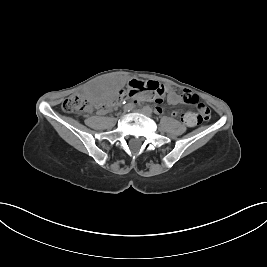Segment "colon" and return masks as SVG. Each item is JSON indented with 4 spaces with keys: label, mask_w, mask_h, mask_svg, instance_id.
I'll return each instance as SVG.
<instances>
[{
    "label": "colon",
    "mask_w": 267,
    "mask_h": 267,
    "mask_svg": "<svg viewBox=\"0 0 267 267\" xmlns=\"http://www.w3.org/2000/svg\"><path fill=\"white\" fill-rule=\"evenodd\" d=\"M166 92L165 86L156 81L132 80L129 82L127 89L119 90L114 96L109 98L104 106L110 107L120 100L137 97L160 103L163 101ZM181 95L183 102L197 104L198 113L195 115L198 122L210 119V110L204 103H198L199 99L195 94L185 90ZM62 109L67 113L82 114L90 111L91 103L83 94H73L63 101Z\"/></svg>",
    "instance_id": "obj_1"
}]
</instances>
